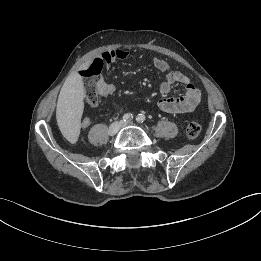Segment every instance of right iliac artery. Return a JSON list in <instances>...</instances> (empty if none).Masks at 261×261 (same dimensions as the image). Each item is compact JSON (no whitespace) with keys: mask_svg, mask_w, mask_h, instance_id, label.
Masks as SVG:
<instances>
[{"mask_svg":"<svg viewBox=\"0 0 261 261\" xmlns=\"http://www.w3.org/2000/svg\"><path fill=\"white\" fill-rule=\"evenodd\" d=\"M132 118H133V115H132L131 113H126V114L123 116V121H124V122H128V121H130Z\"/></svg>","mask_w":261,"mask_h":261,"instance_id":"1","label":"right iliac artery"}]
</instances>
